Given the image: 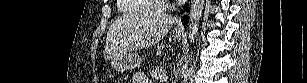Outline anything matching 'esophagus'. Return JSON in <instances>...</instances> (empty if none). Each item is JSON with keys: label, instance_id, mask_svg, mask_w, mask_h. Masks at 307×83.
<instances>
[{"label": "esophagus", "instance_id": "esophagus-1", "mask_svg": "<svg viewBox=\"0 0 307 83\" xmlns=\"http://www.w3.org/2000/svg\"><path fill=\"white\" fill-rule=\"evenodd\" d=\"M178 27H179L180 29H183V26H182L181 24H179Z\"/></svg>", "mask_w": 307, "mask_h": 83}]
</instances>
